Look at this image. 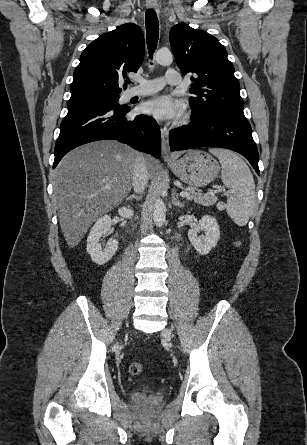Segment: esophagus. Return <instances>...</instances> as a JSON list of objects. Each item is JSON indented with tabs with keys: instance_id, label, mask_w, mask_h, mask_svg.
I'll list each match as a JSON object with an SVG mask.
<instances>
[{
	"instance_id": "1",
	"label": "esophagus",
	"mask_w": 307,
	"mask_h": 445,
	"mask_svg": "<svg viewBox=\"0 0 307 445\" xmlns=\"http://www.w3.org/2000/svg\"><path fill=\"white\" fill-rule=\"evenodd\" d=\"M146 8L150 10H155L157 14L160 13V9L157 3H147ZM161 131V152L162 156L165 159L171 158L170 154V146H169V138H168V128L165 125H160Z\"/></svg>"
}]
</instances>
